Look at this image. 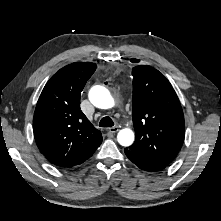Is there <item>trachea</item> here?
I'll return each mask as SVG.
<instances>
[{
	"label": "trachea",
	"mask_w": 221,
	"mask_h": 221,
	"mask_svg": "<svg viewBox=\"0 0 221 221\" xmlns=\"http://www.w3.org/2000/svg\"><path fill=\"white\" fill-rule=\"evenodd\" d=\"M99 126L100 127H112L114 126V122L110 117L106 116L100 120Z\"/></svg>",
	"instance_id": "trachea-1"
}]
</instances>
